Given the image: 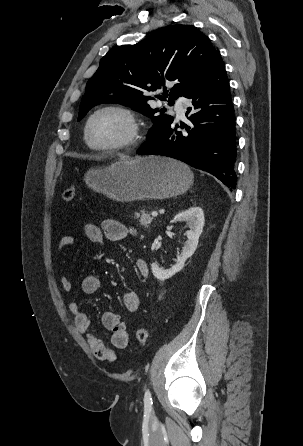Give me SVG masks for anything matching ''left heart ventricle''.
<instances>
[{
    "mask_svg": "<svg viewBox=\"0 0 303 446\" xmlns=\"http://www.w3.org/2000/svg\"><path fill=\"white\" fill-rule=\"evenodd\" d=\"M129 131L126 120L114 112H104L94 118L89 138L96 146H108L123 140Z\"/></svg>",
    "mask_w": 303,
    "mask_h": 446,
    "instance_id": "1",
    "label": "left heart ventricle"
}]
</instances>
